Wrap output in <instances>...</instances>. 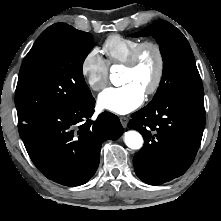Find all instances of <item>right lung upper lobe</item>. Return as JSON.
Masks as SVG:
<instances>
[{"label": "right lung upper lobe", "mask_w": 221, "mask_h": 221, "mask_svg": "<svg viewBox=\"0 0 221 221\" xmlns=\"http://www.w3.org/2000/svg\"><path fill=\"white\" fill-rule=\"evenodd\" d=\"M82 31L76 30L75 28L64 24V23H57L50 27H48L39 37L38 39L44 38L46 36L51 35H71L75 36L80 34Z\"/></svg>", "instance_id": "cb5924a9"}]
</instances>
